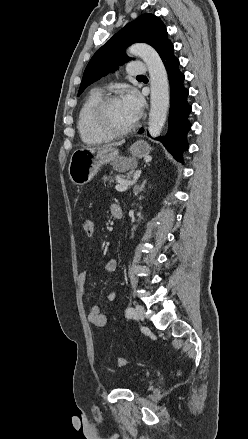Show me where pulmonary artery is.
Instances as JSON below:
<instances>
[{
	"instance_id": "pulmonary-artery-1",
	"label": "pulmonary artery",
	"mask_w": 248,
	"mask_h": 439,
	"mask_svg": "<svg viewBox=\"0 0 248 439\" xmlns=\"http://www.w3.org/2000/svg\"><path fill=\"white\" fill-rule=\"evenodd\" d=\"M147 73V66L144 62L136 61L129 64L128 74L141 76Z\"/></svg>"
}]
</instances>
